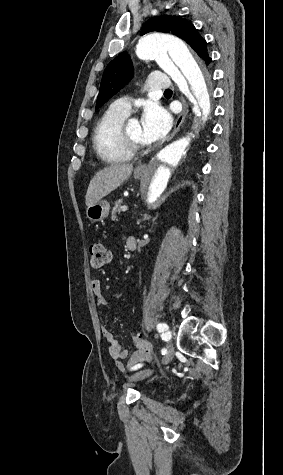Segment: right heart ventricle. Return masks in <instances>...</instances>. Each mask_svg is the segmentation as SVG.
<instances>
[{
	"label": "right heart ventricle",
	"mask_w": 283,
	"mask_h": 475,
	"mask_svg": "<svg viewBox=\"0 0 283 475\" xmlns=\"http://www.w3.org/2000/svg\"><path fill=\"white\" fill-rule=\"evenodd\" d=\"M129 111L111 104L97 120L93 131V145L100 152L106 145H111L124 125ZM102 158V157H101ZM105 162H123L117 159H105Z\"/></svg>",
	"instance_id": "obj_1"
}]
</instances>
